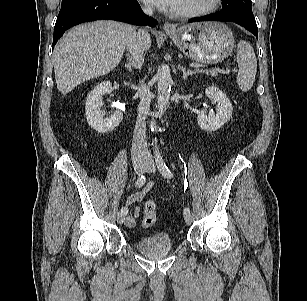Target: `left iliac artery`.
<instances>
[{
  "mask_svg": "<svg viewBox=\"0 0 307 301\" xmlns=\"http://www.w3.org/2000/svg\"><path fill=\"white\" fill-rule=\"evenodd\" d=\"M155 160H156L160 173L166 178H172L173 175L171 171L169 170V168L167 167L166 163L164 162L158 148L156 149ZM189 212H190V209L188 207L184 208L183 210L184 214L189 213Z\"/></svg>",
  "mask_w": 307,
  "mask_h": 301,
  "instance_id": "obj_1",
  "label": "left iliac artery"
}]
</instances>
